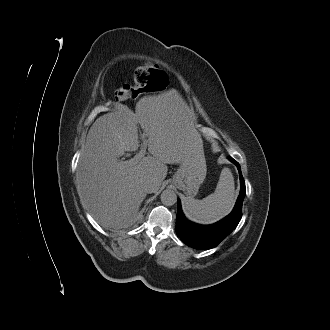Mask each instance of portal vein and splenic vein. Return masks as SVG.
<instances>
[{"label":"portal vein and splenic vein","instance_id":"18ae733b","mask_svg":"<svg viewBox=\"0 0 330 330\" xmlns=\"http://www.w3.org/2000/svg\"><path fill=\"white\" fill-rule=\"evenodd\" d=\"M142 138H145V134H142ZM144 148H142L139 153H137L132 159H130V162L137 163L140 161V159L145 155L146 152V143L145 141L143 142Z\"/></svg>","mask_w":330,"mask_h":330}]
</instances>
